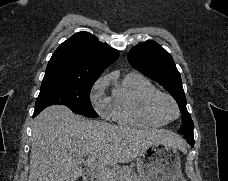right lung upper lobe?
<instances>
[{
    "label": "right lung upper lobe",
    "mask_w": 228,
    "mask_h": 181,
    "mask_svg": "<svg viewBox=\"0 0 228 181\" xmlns=\"http://www.w3.org/2000/svg\"><path fill=\"white\" fill-rule=\"evenodd\" d=\"M119 51L88 32H79L64 41L53 53L44 78L69 81L97 80L104 68L113 63Z\"/></svg>",
    "instance_id": "cb5924a9"
}]
</instances>
